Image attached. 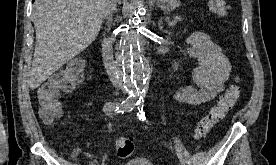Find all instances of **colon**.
Instances as JSON below:
<instances>
[{
    "label": "colon",
    "instance_id": "colon-1",
    "mask_svg": "<svg viewBox=\"0 0 276 165\" xmlns=\"http://www.w3.org/2000/svg\"><path fill=\"white\" fill-rule=\"evenodd\" d=\"M208 9L220 16L226 17L229 13V5L225 0H207ZM83 79V65L81 62H73L55 72L37 91L39 112L43 121L52 123L62 116V107L59 101L62 91L69 90L76 82ZM241 88L239 78L221 94L216 104L195 125L193 139L198 141L204 138L209 131L220 122L234 107L240 97ZM116 154L121 159H126L133 154L134 145L129 138L117 139Z\"/></svg>",
    "mask_w": 276,
    "mask_h": 165
}]
</instances>
